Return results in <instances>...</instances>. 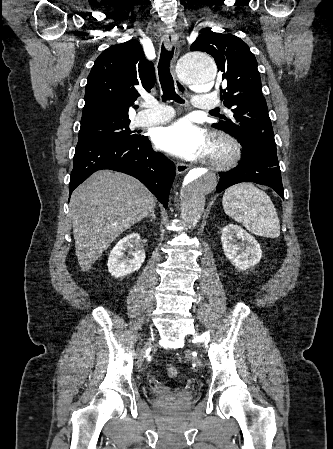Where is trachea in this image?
Here are the masks:
<instances>
[{"instance_id": "3493384b", "label": "trachea", "mask_w": 333, "mask_h": 449, "mask_svg": "<svg viewBox=\"0 0 333 449\" xmlns=\"http://www.w3.org/2000/svg\"><path fill=\"white\" fill-rule=\"evenodd\" d=\"M173 54L174 47L169 51L162 45L158 63L159 81L163 91L162 100L164 102L167 100H175L178 103H184V100L175 92L174 80L169 69ZM210 112H215V110H211Z\"/></svg>"}]
</instances>
